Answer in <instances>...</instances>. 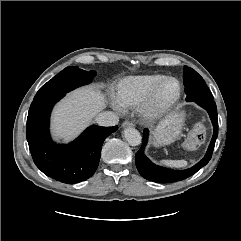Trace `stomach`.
Instances as JSON below:
<instances>
[{"mask_svg":"<svg viewBox=\"0 0 241 241\" xmlns=\"http://www.w3.org/2000/svg\"><path fill=\"white\" fill-rule=\"evenodd\" d=\"M185 113L173 111L165 116L153 131L152 144L154 146L168 145L180 135L184 125Z\"/></svg>","mask_w":241,"mask_h":241,"instance_id":"stomach-1","label":"stomach"}]
</instances>
